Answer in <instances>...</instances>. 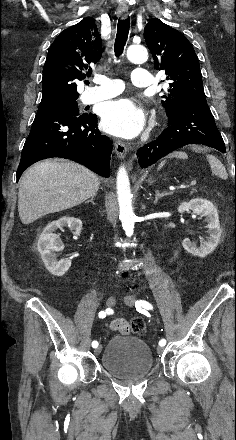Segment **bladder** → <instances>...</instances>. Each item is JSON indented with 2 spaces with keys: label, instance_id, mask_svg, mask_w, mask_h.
Here are the masks:
<instances>
[{
  "label": "bladder",
  "instance_id": "31cf9c89",
  "mask_svg": "<svg viewBox=\"0 0 236 440\" xmlns=\"http://www.w3.org/2000/svg\"><path fill=\"white\" fill-rule=\"evenodd\" d=\"M106 371L118 378L147 374L153 368L150 347L139 338L112 337L101 356Z\"/></svg>",
  "mask_w": 236,
  "mask_h": 440
}]
</instances>
